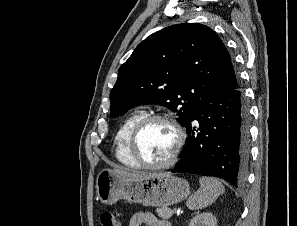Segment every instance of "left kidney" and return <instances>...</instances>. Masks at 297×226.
<instances>
[{"instance_id":"left-kidney-1","label":"left kidney","mask_w":297,"mask_h":226,"mask_svg":"<svg viewBox=\"0 0 297 226\" xmlns=\"http://www.w3.org/2000/svg\"><path fill=\"white\" fill-rule=\"evenodd\" d=\"M189 226H217V219L212 213L205 212L195 216Z\"/></svg>"}]
</instances>
